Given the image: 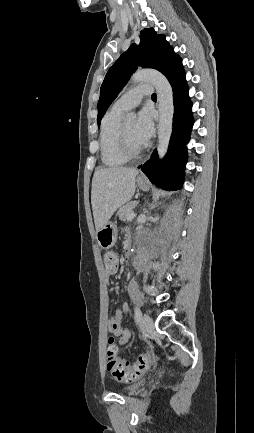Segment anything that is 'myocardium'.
Wrapping results in <instances>:
<instances>
[{"mask_svg": "<svg viewBox=\"0 0 254 433\" xmlns=\"http://www.w3.org/2000/svg\"><path fill=\"white\" fill-rule=\"evenodd\" d=\"M119 144H120V149H121L122 153L128 159L137 158L144 152V146L139 148V149H135L130 145V143L126 137L125 131L123 129V125H120V127H119Z\"/></svg>", "mask_w": 254, "mask_h": 433, "instance_id": "obj_1", "label": "myocardium"}]
</instances>
